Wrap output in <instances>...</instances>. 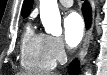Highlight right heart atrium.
I'll list each match as a JSON object with an SVG mask.
<instances>
[{
    "label": "right heart atrium",
    "instance_id": "d8ad5b80",
    "mask_svg": "<svg viewBox=\"0 0 107 75\" xmlns=\"http://www.w3.org/2000/svg\"><path fill=\"white\" fill-rule=\"evenodd\" d=\"M48 47L55 62H64L67 50L61 38L55 36H47Z\"/></svg>",
    "mask_w": 107,
    "mask_h": 75
}]
</instances>
